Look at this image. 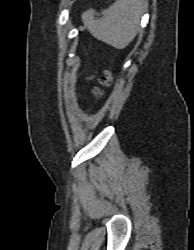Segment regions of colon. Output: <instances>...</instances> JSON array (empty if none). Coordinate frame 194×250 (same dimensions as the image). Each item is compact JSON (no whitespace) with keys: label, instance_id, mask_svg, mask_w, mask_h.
<instances>
[{"label":"colon","instance_id":"1","mask_svg":"<svg viewBox=\"0 0 194 250\" xmlns=\"http://www.w3.org/2000/svg\"><path fill=\"white\" fill-rule=\"evenodd\" d=\"M112 80V75L109 71H106L101 76V84L102 85H108ZM95 97H100L102 95V91L99 88L94 89L93 91Z\"/></svg>","mask_w":194,"mask_h":250}]
</instances>
